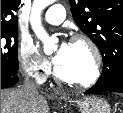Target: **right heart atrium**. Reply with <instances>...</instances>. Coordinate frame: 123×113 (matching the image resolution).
<instances>
[{"mask_svg":"<svg viewBox=\"0 0 123 113\" xmlns=\"http://www.w3.org/2000/svg\"><path fill=\"white\" fill-rule=\"evenodd\" d=\"M18 60L23 72L37 82L43 81L50 72V64L30 41L20 42Z\"/></svg>","mask_w":123,"mask_h":113,"instance_id":"right-heart-atrium-1","label":"right heart atrium"}]
</instances>
